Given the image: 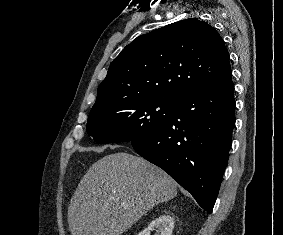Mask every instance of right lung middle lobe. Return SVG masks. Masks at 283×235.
<instances>
[{
  "mask_svg": "<svg viewBox=\"0 0 283 235\" xmlns=\"http://www.w3.org/2000/svg\"><path fill=\"white\" fill-rule=\"evenodd\" d=\"M174 98L134 97L93 106L87 132L99 144L144 138L170 118Z\"/></svg>",
  "mask_w": 283,
  "mask_h": 235,
  "instance_id": "right-lung-middle-lobe-1",
  "label": "right lung middle lobe"
}]
</instances>
